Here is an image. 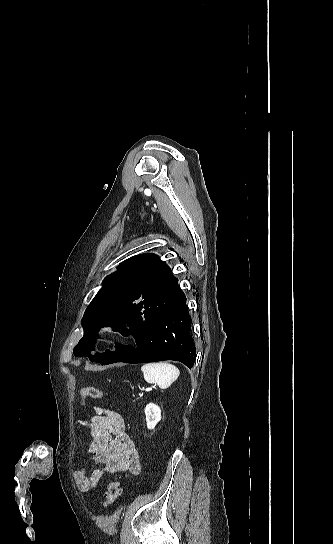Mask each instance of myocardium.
<instances>
[{
    "label": "myocardium",
    "mask_w": 333,
    "mask_h": 544,
    "mask_svg": "<svg viewBox=\"0 0 333 544\" xmlns=\"http://www.w3.org/2000/svg\"><path fill=\"white\" fill-rule=\"evenodd\" d=\"M98 332H99V333L105 332V327H104V326H100L99 329H98Z\"/></svg>",
    "instance_id": "myocardium-1"
}]
</instances>
